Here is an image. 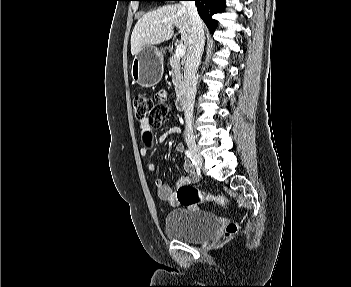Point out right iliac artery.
Here are the masks:
<instances>
[{"mask_svg": "<svg viewBox=\"0 0 351 287\" xmlns=\"http://www.w3.org/2000/svg\"><path fill=\"white\" fill-rule=\"evenodd\" d=\"M185 155L190 159L192 164L197 167V162L192 152L190 150H185Z\"/></svg>", "mask_w": 351, "mask_h": 287, "instance_id": "1", "label": "right iliac artery"}]
</instances>
